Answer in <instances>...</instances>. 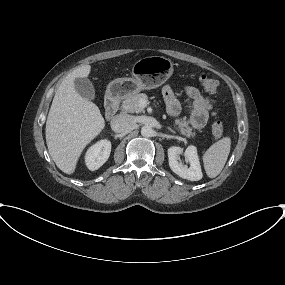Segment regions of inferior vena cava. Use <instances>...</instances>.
<instances>
[{
	"mask_svg": "<svg viewBox=\"0 0 285 285\" xmlns=\"http://www.w3.org/2000/svg\"><path fill=\"white\" fill-rule=\"evenodd\" d=\"M110 125L114 132H126L129 131L134 125V118L128 114H118L113 117Z\"/></svg>",
	"mask_w": 285,
	"mask_h": 285,
	"instance_id": "602c4592",
	"label": "inferior vena cava"
}]
</instances>
